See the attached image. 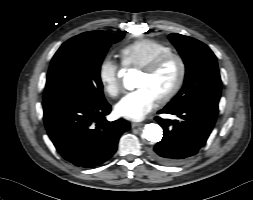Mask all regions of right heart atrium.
<instances>
[{
    "mask_svg": "<svg viewBox=\"0 0 253 200\" xmlns=\"http://www.w3.org/2000/svg\"><path fill=\"white\" fill-rule=\"evenodd\" d=\"M121 66L110 58H104L98 69V77L105 92L116 97L123 89Z\"/></svg>",
    "mask_w": 253,
    "mask_h": 200,
    "instance_id": "obj_1",
    "label": "right heart atrium"
}]
</instances>
